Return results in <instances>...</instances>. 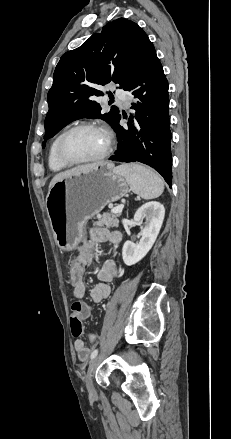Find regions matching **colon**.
Wrapping results in <instances>:
<instances>
[{"label": "colon", "mask_w": 231, "mask_h": 439, "mask_svg": "<svg viewBox=\"0 0 231 439\" xmlns=\"http://www.w3.org/2000/svg\"><path fill=\"white\" fill-rule=\"evenodd\" d=\"M70 274V284L72 285L74 291L75 283H87L84 275L86 274V267L82 264V262L78 259H75L71 262V266L69 267ZM70 327L71 333L74 337H81L83 334V324L81 318L77 313H73L70 318Z\"/></svg>", "instance_id": "obj_1"}]
</instances>
